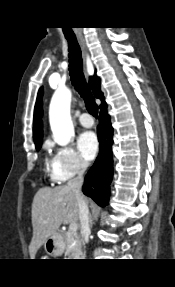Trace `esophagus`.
<instances>
[{
    "instance_id": "obj_1",
    "label": "esophagus",
    "mask_w": 175,
    "mask_h": 287,
    "mask_svg": "<svg viewBox=\"0 0 175 287\" xmlns=\"http://www.w3.org/2000/svg\"><path fill=\"white\" fill-rule=\"evenodd\" d=\"M78 42H79V45H80L81 50H82V57H83V60H84V67H85L86 66V64H85L86 52H87L86 42H85L84 38H82V37L78 38Z\"/></svg>"
}]
</instances>
